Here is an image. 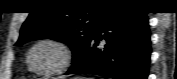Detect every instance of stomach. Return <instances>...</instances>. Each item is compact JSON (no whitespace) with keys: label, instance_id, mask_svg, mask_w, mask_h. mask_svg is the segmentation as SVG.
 Returning <instances> with one entry per match:
<instances>
[{"label":"stomach","instance_id":"0dacf381","mask_svg":"<svg viewBox=\"0 0 177 79\" xmlns=\"http://www.w3.org/2000/svg\"><path fill=\"white\" fill-rule=\"evenodd\" d=\"M74 79H85L84 77H75Z\"/></svg>","mask_w":177,"mask_h":79}]
</instances>
